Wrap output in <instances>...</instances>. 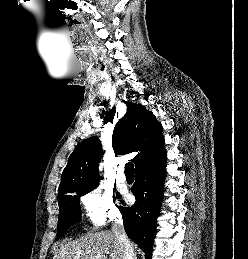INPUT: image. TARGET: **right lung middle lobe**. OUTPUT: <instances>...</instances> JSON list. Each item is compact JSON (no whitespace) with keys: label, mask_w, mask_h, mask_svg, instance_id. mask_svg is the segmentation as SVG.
<instances>
[{"label":"right lung middle lobe","mask_w":248,"mask_h":259,"mask_svg":"<svg viewBox=\"0 0 248 259\" xmlns=\"http://www.w3.org/2000/svg\"><path fill=\"white\" fill-rule=\"evenodd\" d=\"M98 184L77 188L66 195L58 197L59 221L58 238L74 223L81 221L80 196L92 191ZM73 193V194H72ZM57 238V239H58Z\"/></svg>","instance_id":"obj_1"}]
</instances>
